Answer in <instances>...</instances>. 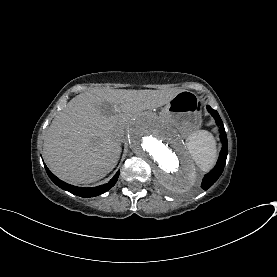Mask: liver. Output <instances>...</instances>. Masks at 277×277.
<instances>
[{
  "mask_svg": "<svg viewBox=\"0 0 277 277\" xmlns=\"http://www.w3.org/2000/svg\"><path fill=\"white\" fill-rule=\"evenodd\" d=\"M175 92L91 90L77 95L44 135L43 156L61 179L91 183L117 165L134 114L168 104Z\"/></svg>",
  "mask_w": 277,
  "mask_h": 277,
  "instance_id": "liver-1",
  "label": "liver"
}]
</instances>
